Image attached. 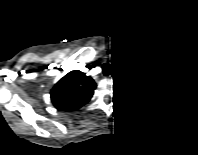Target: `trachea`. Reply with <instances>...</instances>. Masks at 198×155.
Listing matches in <instances>:
<instances>
[{
  "mask_svg": "<svg viewBox=\"0 0 198 155\" xmlns=\"http://www.w3.org/2000/svg\"><path fill=\"white\" fill-rule=\"evenodd\" d=\"M111 70H112L111 65L106 64V65L104 66L103 71H104V74H105V75L111 74Z\"/></svg>",
  "mask_w": 198,
  "mask_h": 155,
  "instance_id": "1",
  "label": "trachea"
}]
</instances>
